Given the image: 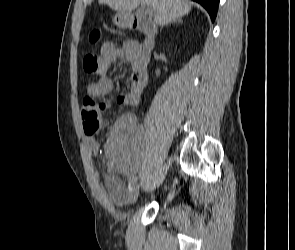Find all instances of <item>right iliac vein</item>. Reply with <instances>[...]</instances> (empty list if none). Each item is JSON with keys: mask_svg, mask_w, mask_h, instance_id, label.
Returning <instances> with one entry per match:
<instances>
[{"mask_svg": "<svg viewBox=\"0 0 295 250\" xmlns=\"http://www.w3.org/2000/svg\"><path fill=\"white\" fill-rule=\"evenodd\" d=\"M138 196H139V187L135 186V187H133V189L129 193V195L127 197V202L129 204H134L137 201Z\"/></svg>", "mask_w": 295, "mask_h": 250, "instance_id": "1", "label": "right iliac vein"}]
</instances>
